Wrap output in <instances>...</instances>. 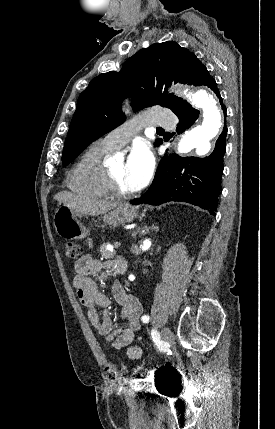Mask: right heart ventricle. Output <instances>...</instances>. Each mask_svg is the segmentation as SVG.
<instances>
[{
  "label": "right heart ventricle",
  "instance_id": "obj_1",
  "mask_svg": "<svg viewBox=\"0 0 275 429\" xmlns=\"http://www.w3.org/2000/svg\"><path fill=\"white\" fill-rule=\"evenodd\" d=\"M112 151L100 141L89 146L71 170L68 187L88 198H107L110 193L103 159Z\"/></svg>",
  "mask_w": 275,
  "mask_h": 429
}]
</instances>
